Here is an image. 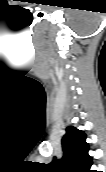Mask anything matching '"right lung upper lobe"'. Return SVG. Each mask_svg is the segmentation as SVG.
<instances>
[{"instance_id":"right-lung-upper-lobe-1","label":"right lung upper lobe","mask_w":106,"mask_h":172,"mask_svg":"<svg viewBox=\"0 0 106 172\" xmlns=\"http://www.w3.org/2000/svg\"><path fill=\"white\" fill-rule=\"evenodd\" d=\"M63 157L53 159L50 169L54 172H91L92 158L89 156V144L86 134L73 126L66 129L62 138Z\"/></svg>"}]
</instances>
